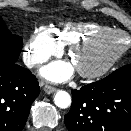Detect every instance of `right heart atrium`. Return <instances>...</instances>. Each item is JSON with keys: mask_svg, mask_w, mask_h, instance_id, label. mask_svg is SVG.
<instances>
[{"mask_svg": "<svg viewBox=\"0 0 131 131\" xmlns=\"http://www.w3.org/2000/svg\"><path fill=\"white\" fill-rule=\"evenodd\" d=\"M60 51L61 45L55 40L51 30L40 27L32 34L25 46L24 60L27 65L34 66Z\"/></svg>", "mask_w": 131, "mask_h": 131, "instance_id": "d8ad5b80", "label": "right heart atrium"}]
</instances>
